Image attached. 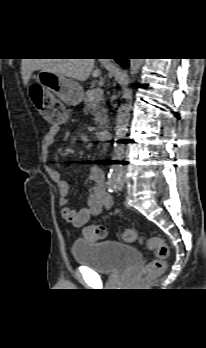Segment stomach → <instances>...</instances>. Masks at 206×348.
Returning <instances> with one entry per match:
<instances>
[{
  "mask_svg": "<svg viewBox=\"0 0 206 348\" xmlns=\"http://www.w3.org/2000/svg\"><path fill=\"white\" fill-rule=\"evenodd\" d=\"M35 79L43 92H52L66 104L77 105L83 99V88L63 76L40 70Z\"/></svg>",
  "mask_w": 206,
  "mask_h": 348,
  "instance_id": "obj_1",
  "label": "stomach"
}]
</instances>
